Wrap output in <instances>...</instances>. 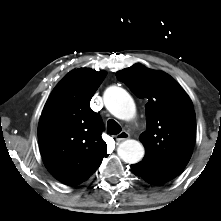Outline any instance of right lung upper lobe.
<instances>
[{"mask_svg": "<svg viewBox=\"0 0 221 221\" xmlns=\"http://www.w3.org/2000/svg\"><path fill=\"white\" fill-rule=\"evenodd\" d=\"M105 76L104 71L73 70L44 106L38 126L41 155L49 172L66 185L86 181L108 156L102 119L90 108Z\"/></svg>", "mask_w": 221, "mask_h": 221, "instance_id": "obj_1", "label": "right lung upper lobe"}]
</instances>
